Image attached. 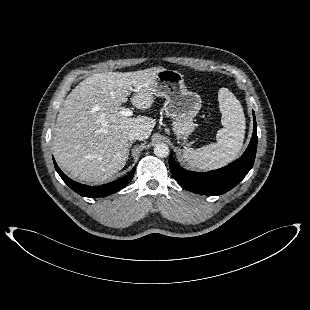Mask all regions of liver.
I'll return each instance as SVG.
<instances>
[{
	"label": "liver",
	"instance_id": "obj_1",
	"mask_svg": "<svg viewBox=\"0 0 310 310\" xmlns=\"http://www.w3.org/2000/svg\"><path fill=\"white\" fill-rule=\"evenodd\" d=\"M163 67L133 72L97 73L80 82L59 110L53 131L56 161L79 181L102 183L126 164L128 133L149 138L156 121L147 116H123L129 90L132 104L141 110L154 103L155 80Z\"/></svg>",
	"mask_w": 310,
	"mask_h": 310
}]
</instances>
